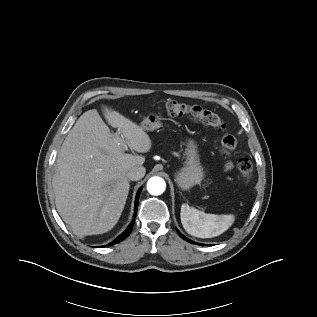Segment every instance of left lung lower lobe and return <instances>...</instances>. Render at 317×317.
I'll return each instance as SVG.
<instances>
[{"label": "left lung lower lobe", "instance_id": "0a47b994", "mask_svg": "<svg viewBox=\"0 0 317 317\" xmlns=\"http://www.w3.org/2000/svg\"><path fill=\"white\" fill-rule=\"evenodd\" d=\"M176 231H177V233L179 234V236H180L181 238H183L184 240H186V241H188V242H190V243H192V244L202 245V244H199V243H196V242H193V241L187 239L185 236H183V235L178 231V229H176Z\"/></svg>", "mask_w": 317, "mask_h": 317}]
</instances>
